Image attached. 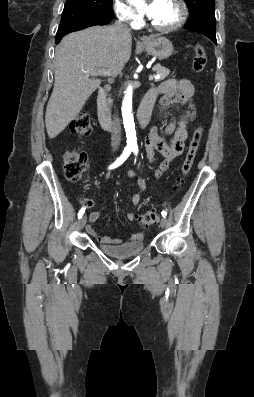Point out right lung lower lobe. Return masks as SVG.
<instances>
[{"label": "right lung lower lobe", "instance_id": "1", "mask_svg": "<svg viewBox=\"0 0 254 397\" xmlns=\"http://www.w3.org/2000/svg\"><path fill=\"white\" fill-rule=\"evenodd\" d=\"M114 16V13L93 14L73 6H64L61 22L56 34V44L68 33L75 32L90 26L105 25Z\"/></svg>", "mask_w": 254, "mask_h": 397}]
</instances>
